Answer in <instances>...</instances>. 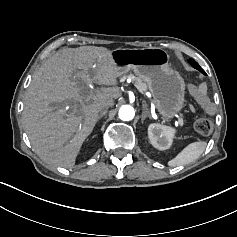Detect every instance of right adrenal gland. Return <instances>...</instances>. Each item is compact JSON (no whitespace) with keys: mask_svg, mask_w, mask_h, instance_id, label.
Wrapping results in <instances>:
<instances>
[{"mask_svg":"<svg viewBox=\"0 0 237 237\" xmlns=\"http://www.w3.org/2000/svg\"><path fill=\"white\" fill-rule=\"evenodd\" d=\"M106 113H107V109H105L104 111H102V112L99 114L97 121H99L101 118L105 117V116H106Z\"/></svg>","mask_w":237,"mask_h":237,"instance_id":"1","label":"right adrenal gland"}]
</instances>
